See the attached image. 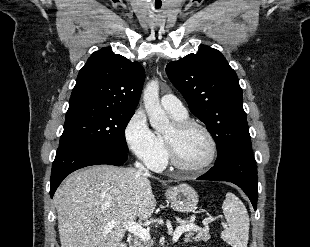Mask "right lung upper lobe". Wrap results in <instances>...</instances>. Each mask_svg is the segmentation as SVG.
Listing matches in <instances>:
<instances>
[{
    "instance_id": "cb5924a9",
    "label": "right lung upper lobe",
    "mask_w": 310,
    "mask_h": 247,
    "mask_svg": "<svg viewBox=\"0 0 310 247\" xmlns=\"http://www.w3.org/2000/svg\"><path fill=\"white\" fill-rule=\"evenodd\" d=\"M145 79L143 67L110 48L94 52L79 71L69 110L113 109L135 112Z\"/></svg>"
}]
</instances>
